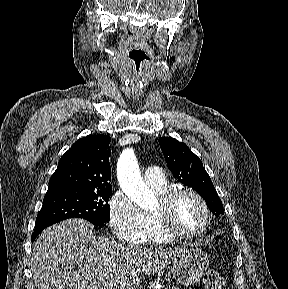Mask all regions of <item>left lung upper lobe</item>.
<instances>
[{
	"instance_id": "obj_1",
	"label": "left lung upper lobe",
	"mask_w": 288,
	"mask_h": 289,
	"mask_svg": "<svg viewBox=\"0 0 288 289\" xmlns=\"http://www.w3.org/2000/svg\"><path fill=\"white\" fill-rule=\"evenodd\" d=\"M159 144L173 175L199 193L216 216L223 214L222 202L201 160L186 144L174 138L162 137Z\"/></svg>"
}]
</instances>
